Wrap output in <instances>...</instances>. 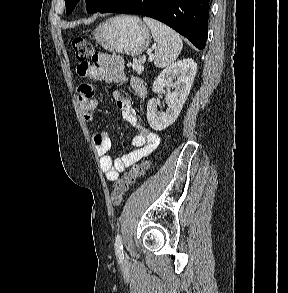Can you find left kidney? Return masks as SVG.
I'll use <instances>...</instances> for the list:
<instances>
[{
  "mask_svg": "<svg viewBox=\"0 0 288 293\" xmlns=\"http://www.w3.org/2000/svg\"><path fill=\"white\" fill-rule=\"evenodd\" d=\"M197 64L192 59H184L164 69L153 83V91L160 94L165 86L172 87L166 95L168 107L164 112L157 109L159 99L153 98L147 105V120L150 127L161 131L177 119L189 93L196 75Z\"/></svg>",
  "mask_w": 288,
  "mask_h": 293,
  "instance_id": "obj_1",
  "label": "left kidney"
}]
</instances>
